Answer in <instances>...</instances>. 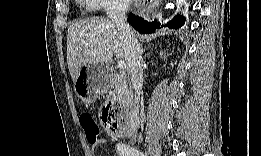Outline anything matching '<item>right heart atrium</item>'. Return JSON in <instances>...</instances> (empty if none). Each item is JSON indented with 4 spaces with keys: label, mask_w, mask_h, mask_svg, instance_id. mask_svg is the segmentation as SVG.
Wrapping results in <instances>:
<instances>
[{
    "label": "right heart atrium",
    "mask_w": 261,
    "mask_h": 156,
    "mask_svg": "<svg viewBox=\"0 0 261 156\" xmlns=\"http://www.w3.org/2000/svg\"><path fill=\"white\" fill-rule=\"evenodd\" d=\"M88 4L93 8L105 9V10H110L112 8L121 6V4L116 1H108V0H89Z\"/></svg>",
    "instance_id": "1"
}]
</instances>
